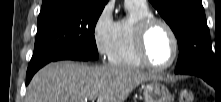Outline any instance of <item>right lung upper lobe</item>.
Segmentation results:
<instances>
[{"label":"right lung upper lobe","instance_id":"right-lung-upper-lobe-1","mask_svg":"<svg viewBox=\"0 0 221 102\" xmlns=\"http://www.w3.org/2000/svg\"><path fill=\"white\" fill-rule=\"evenodd\" d=\"M78 1H86L93 7H105L106 3L108 2V0H43L41 9L65 5Z\"/></svg>","mask_w":221,"mask_h":102}]
</instances>
